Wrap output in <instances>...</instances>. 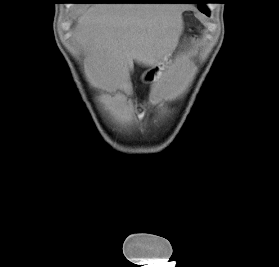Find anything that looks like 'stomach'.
Wrapping results in <instances>:
<instances>
[{
    "mask_svg": "<svg viewBox=\"0 0 279 267\" xmlns=\"http://www.w3.org/2000/svg\"><path fill=\"white\" fill-rule=\"evenodd\" d=\"M164 68V64L163 63H159L157 65H155L154 67H152L151 69H149L148 71H146L143 76L142 79L146 80V81H153L155 79H157L159 77V75L161 74V71Z\"/></svg>",
    "mask_w": 279,
    "mask_h": 267,
    "instance_id": "stomach-1",
    "label": "stomach"
}]
</instances>
